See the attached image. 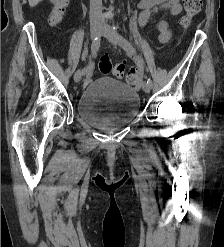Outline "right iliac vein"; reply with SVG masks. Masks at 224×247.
I'll list each match as a JSON object with an SVG mask.
<instances>
[{
    "label": "right iliac vein",
    "instance_id": "obj_1",
    "mask_svg": "<svg viewBox=\"0 0 224 247\" xmlns=\"http://www.w3.org/2000/svg\"><path fill=\"white\" fill-rule=\"evenodd\" d=\"M101 31H102V26L100 24H92L90 27L91 39H94L97 36H99ZM82 76H83L82 69H78L74 75V81L76 83L79 82Z\"/></svg>",
    "mask_w": 224,
    "mask_h": 247
}]
</instances>
